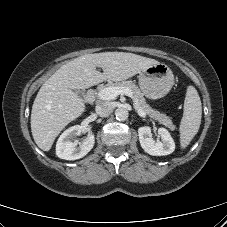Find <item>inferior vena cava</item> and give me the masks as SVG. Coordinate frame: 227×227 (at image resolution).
<instances>
[{
  "label": "inferior vena cava",
  "instance_id": "602c4592",
  "mask_svg": "<svg viewBox=\"0 0 227 227\" xmlns=\"http://www.w3.org/2000/svg\"><path fill=\"white\" fill-rule=\"evenodd\" d=\"M113 106L110 102H102L96 105V114L100 117H107L111 114Z\"/></svg>",
  "mask_w": 227,
  "mask_h": 227
}]
</instances>
